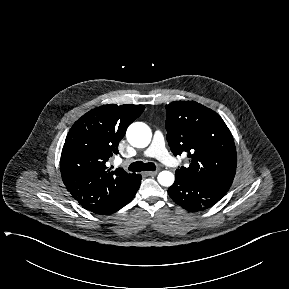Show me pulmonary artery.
Masks as SVG:
<instances>
[{"mask_svg":"<svg viewBox=\"0 0 289 289\" xmlns=\"http://www.w3.org/2000/svg\"><path fill=\"white\" fill-rule=\"evenodd\" d=\"M146 157H156L163 162H169V156L164 148V140L161 133L154 135L151 145L144 151Z\"/></svg>","mask_w":289,"mask_h":289,"instance_id":"obj_1","label":"pulmonary artery"}]
</instances>
